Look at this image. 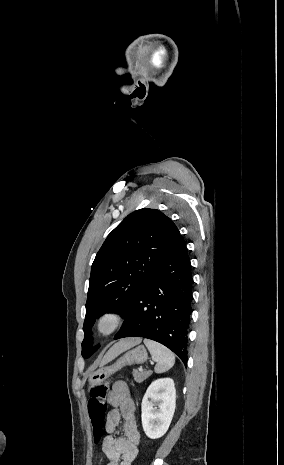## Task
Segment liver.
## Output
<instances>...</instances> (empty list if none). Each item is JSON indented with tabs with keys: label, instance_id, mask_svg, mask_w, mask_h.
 <instances>
[{
	"label": "liver",
	"instance_id": "obj_1",
	"mask_svg": "<svg viewBox=\"0 0 284 465\" xmlns=\"http://www.w3.org/2000/svg\"><path fill=\"white\" fill-rule=\"evenodd\" d=\"M141 343V339H135V337H129V339H121L119 343H115L111 349H109L108 353L104 355L100 367L103 365H107L110 361H113L115 357H118L120 353H124L127 349H131V347H135V345H139Z\"/></svg>",
	"mask_w": 284,
	"mask_h": 465
}]
</instances>
